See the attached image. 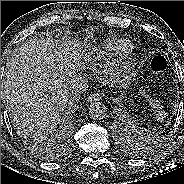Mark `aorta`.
<instances>
[{
	"label": "aorta",
	"mask_w": 184,
	"mask_h": 184,
	"mask_svg": "<svg viewBox=\"0 0 184 184\" xmlns=\"http://www.w3.org/2000/svg\"><path fill=\"white\" fill-rule=\"evenodd\" d=\"M89 115L93 120H103L107 115V108L101 102H93L89 106Z\"/></svg>",
	"instance_id": "obj_1"
}]
</instances>
